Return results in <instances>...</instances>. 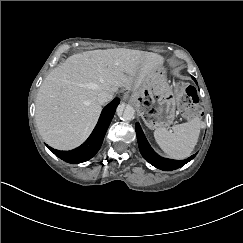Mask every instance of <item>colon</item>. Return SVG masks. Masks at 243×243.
Returning <instances> with one entry per match:
<instances>
[{"mask_svg": "<svg viewBox=\"0 0 243 243\" xmlns=\"http://www.w3.org/2000/svg\"><path fill=\"white\" fill-rule=\"evenodd\" d=\"M178 107L182 116L186 119H193L199 116L197 107V93L191 86L178 84L175 89Z\"/></svg>", "mask_w": 243, "mask_h": 243, "instance_id": "colon-1", "label": "colon"}]
</instances>
